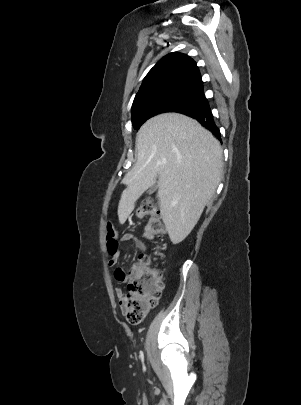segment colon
Returning <instances> with one entry per match:
<instances>
[{
	"label": "colon",
	"mask_w": 301,
	"mask_h": 405,
	"mask_svg": "<svg viewBox=\"0 0 301 405\" xmlns=\"http://www.w3.org/2000/svg\"><path fill=\"white\" fill-rule=\"evenodd\" d=\"M139 217H146L144 235L149 240L161 239L166 235V227L157 207L151 201H144L137 209ZM107 249L112 255L119 247L116 231L112 223L106 225ZM162 292V276L151 259L139 256V261L129 273L127 288L120 301L122 312L131 324H139L148 309L160 298Z\"/></svg>",
	"instance_id": "1"
}]
</instances>
